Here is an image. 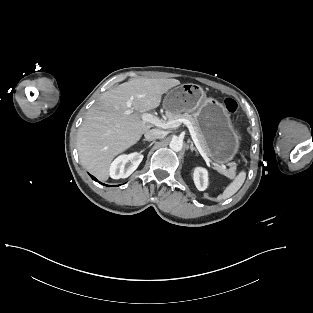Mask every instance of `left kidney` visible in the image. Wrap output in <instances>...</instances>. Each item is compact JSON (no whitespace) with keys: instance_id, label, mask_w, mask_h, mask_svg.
I'll use <instances>...</instances> for the list:
<instances>
[{"instance_id":"left-kidney-1","label":"left kidney","mask_w":313,"mask_h":313,"mask_svg":"<svg viewBox=\"0 0 313 313\" xmlns=\"http://www.w3.org/2000/svg\"><path fill=\"white\" fill-rule=\"evenodd\" d=\"M195 186L199 191H204L208 186V172L206 169L197 167L193 173Z\"/></svg>"}]
</instances>
